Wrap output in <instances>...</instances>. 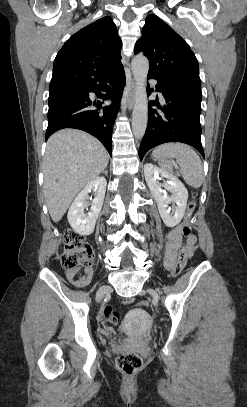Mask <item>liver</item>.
<instances>
[{
	"label": "liver",
	"mask_w": 247,
	"mask_h": 407,
	"mask_svg": "<svg viewBox=\"0 0 247 407\" xmlns=\"http://www.w3.org/2000/svg\"><path fill=\"white\" fill-rule=\"evenodd\" d=\"M109 155L93 136L76 129H63L47 141L43 191L52 220L57 223L71 202L108 165Z\"/></svg>",
	"instance_id": "obj_1"
}]
</instances>
